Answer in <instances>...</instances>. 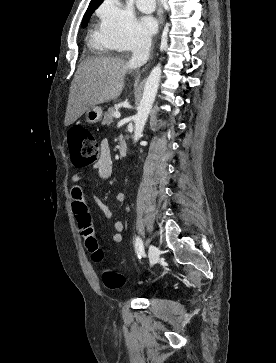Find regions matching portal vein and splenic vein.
Wrapping results in <instances>:
<instances>
[{
	"label": "portal vein and splenic vein",
	"instance_id": "1",
	"mask_svg": "<svg viewBox=\"0 0 276 363\" xmlns=\"http://www.w3.org/2000/svg\"><path fill=\"white\" fill-rule=\"evenodd\" d=\"M113 116L115 118H120L121 114L118 111H116V112H114Z\"/></svg>",
	"mask_w": 276,
	"mask_h": 363
}]
</instances>
